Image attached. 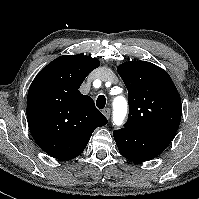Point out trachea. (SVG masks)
Masks as SVG:
<instances>
[{"label": "trachea", "mask_w": 199, "mask_h": 199, "mask_svg": "<svg viewBox=\"0 0 199 199\" xmlns=\"http://www.w3.org/2000/svg\"><path fill=\"white\" fill-rule=\"evenodd\" d=\"M106 105V97L104 95H99L96 100V106L99 109H103Z\"/></svg>", "instance_id": "3493384b"}]
</instances>
